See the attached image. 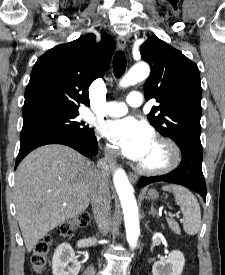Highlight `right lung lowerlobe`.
Here are the masks:
<instances>
[{"label": "right lung lower lobe", "mask_w": 225, "mask_h": 275, "mask_svg": "<svg viewBox=\"0 0 225 275\" xmlns=\"http://www.w3.org/2000/svg\"><path fill=\"white\" fill-rule=\"evenodd\" d=\"M20 150L15 167L33 149L46 144H63L72 147L86 157L97 154V140L91 137H79L69 132L47 126H29L22 128Z\"/></svg>", "instance_id": "right-lung-lower-lobe-1"}]
</instances>
